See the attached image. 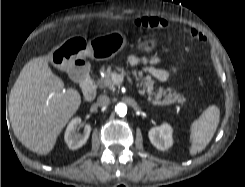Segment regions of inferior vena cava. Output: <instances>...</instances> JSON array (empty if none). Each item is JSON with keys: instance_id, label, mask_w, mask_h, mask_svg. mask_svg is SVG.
<instances>
[{"instance_id": "obj_1", "label": "inferior vena cava", "mask_w": 245, "mask_h": 187, "mask_svg": "<svg viewBox=\"0 0 245 187\" xmlns=\"http://www.w3.org/2000/svg\"><path fill=\"white\" fill-rule=\"evenodd\" d=\"M109 103H110V99L107 95H100L97 98V105L100 107H106L109 105Z\"/></svg>"}]
</instances>
